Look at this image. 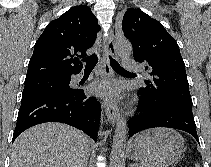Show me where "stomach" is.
I'll use <instances>...</instances> for the list:
<instances>
[{"label":"stomach","instance_id":"1","mask_svg":"<svg viewBox=\"0 0 211 167\" xmlns=\"http://www.w3.org/2000/svg\"><path fill=\"white\" fill-rule=\"evenodd\" d=\"M184 141L173 129L154 128L136 136L128 144L127 154L143 167H168L182 155Z\"/></svg>","mask_w":211,"mask_h":167}]
</instances>
